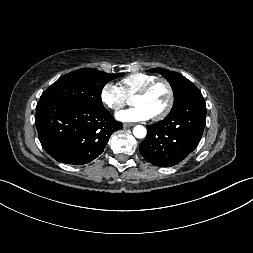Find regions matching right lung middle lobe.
Listing matches in <instances>:
<instances>
[{
  "label": "right lung middle lobe",
  "mask_w": 253,
  "mask_h": 253,
  "mask_svg": "<svg viewBox=\"0 0 253 253\" xmlns=\"http://www.w3.org/2000/svg\"><path fill=\"white\" fill-rule=\"evenodd\" d=\"M123 74H109L91 68H82L61 76L40 97V100L62 101L103 108L101 92L111 80Z\"/></svg>",
  "instance_id": "dd1d6c3e"
}]
</instances>
